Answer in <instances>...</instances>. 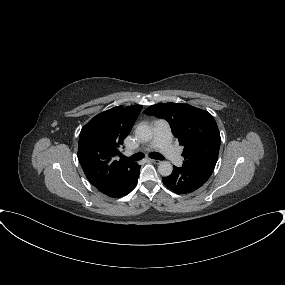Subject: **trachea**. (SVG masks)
<instances>
[{
	"mask_svg": "<svg viewBox=\"0 0 285 285\" xmlns=\"http://www.w3.org/2000/svg\"><path fill=\"white\" fill-rule=\"evenodd\" d=\"M151 158L153 159H156V160H163L164 159V156H162L161 154L159 153H151L149 155ZM125 161H130V162H134V161H138V160H141L143 158V154L142 153H136L130 157H122Z\"/></svg>",
	"mask_w": 285,
	"mask_h": 285,
	"instance_id": "trachea-1",
	"label": "trachea"
}]
</instances>
